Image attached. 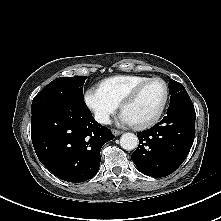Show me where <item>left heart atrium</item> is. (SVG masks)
I'll return each mask as SVG.
<instances>
[{"label":"left heart atrium","mask_w":221,"mask_h":221,"mask_svg":"<svg viewBox=\"0 0 221 221\" xmlns=\"http://www.w3.org/2000/svg\"><path fill=\"white\" fill-rule=\"evenodd\" d=\"M120 121L122 124H128V125H133L135 123L133 118L126 112H122L120 116Z\"/></svg>","instance_id":"1"}]
</instances>
